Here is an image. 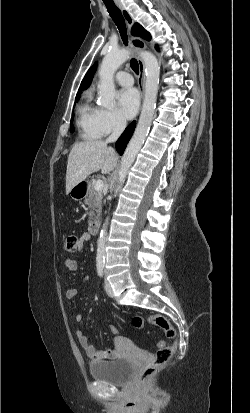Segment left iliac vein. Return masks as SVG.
I'll return each instance as SVG.
<instances>
[{"label":"left iliac vein","mask_w":250,"mask_h":413,"mask_svg":"<svg viewBox=\"0 0 250 413\" xmlns=\"http://www.w3.org/2000/svg\"><path fill=\"white\" fill-rule=\"evenodd\" d=\"M105 290L106 293L108 294V296L113 297L114 293H113V289L109 283V281L106 279L105 280Z\"/></svg>","instance_id":"left-iliac-vein-1"}]
</instances>
